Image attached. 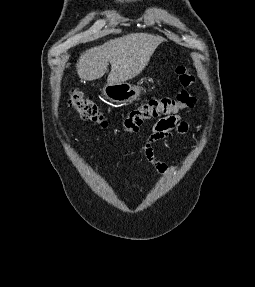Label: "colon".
I'll use <instances>...</instances> for the list:
<instances>
[{
	"label": "colon",
	"instance_id": "obj_1",
	"mask_svg": "<svg viewBox=\"0 0 255 287\" xmlns=\"http://www.w3.org/2000/svg\"><path fill=\"white\" fill-rule=\"evenodd\" d=\"M176 74L184 89L175 98L149 99L130 111L122 122V127L126 132L136 133L144 121L148 119L173 114L179 110L192 107L195 104L196 98L189 90L195 83L194 75L183 65L177 66ZM67 101L69 106L75 109L84 120L107 127V120L98 105L86 97L80 90H71Z\"/></svg>",
	"mask_w": 255,
	"mask_h": 287
}]
</instances>
